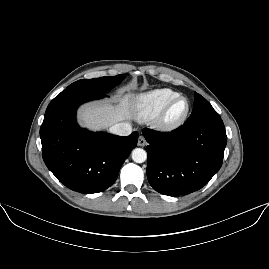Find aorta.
Segmentation results:
<instances>
[{"label": "aorta", "mask_w": 269, "mask_h": 269, "mask_svg": "<svg viewBox=\"0 0 269 269\" xmlns=\"http://www.w3.org/2000/svg\"><path fill=\"white\" fill-rule=\"evenodd\" d=\"M132 159L136 163H144L147 159V153L143 149H134L132 151Z\"/></svg>", "instance_id": "aorta-1"}]
</instances>
